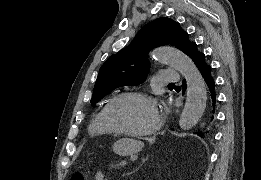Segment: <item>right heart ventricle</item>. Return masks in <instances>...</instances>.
<instances>
[{"mask_svg":"<svg viewBox=\"0 0 261 180\" xmlns=\"http://www.w3.org/2000/svg\"><path fill=\"white\" fill-rule=\"evenodd\" d=\"M104 107V106H103ZM102 108H100L92 117L89 125H88V135L92 140L99 142H107L115 139L105 127L102 120Z\"/></svg>","mask_w":261,"mask_h":180,"instance_id":"e07e8e85","label":"right heart ventricle"}]
</instances>
